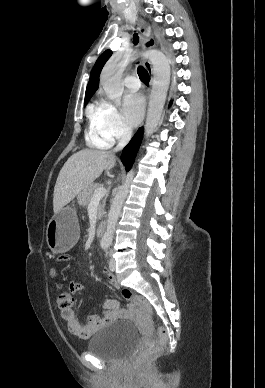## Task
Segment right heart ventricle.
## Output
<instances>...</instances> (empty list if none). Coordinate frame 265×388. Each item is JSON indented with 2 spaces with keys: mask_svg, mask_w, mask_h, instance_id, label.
<instances>
[{
  "mask_svg": "<svg viewBox=\"0 0 265 388\" xmlns=\"http://www.w3.org/2000/svg\"><path fill=\"white\" fill-rule=\"evenodd\" d=\"M89 118L90 126L87 133L88 142L100 148L110 147L112 144V140L107 138L100 130L96 114V106L90 108Z\"/></svg>",
  "mask_w": 265,
  "mask_h": 388,
  "instance_id": "1",
  "label": "right heart ventricle"
}]
</instances>
